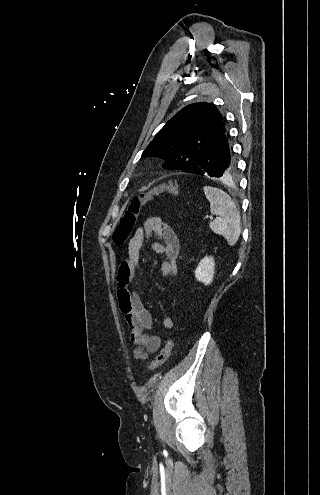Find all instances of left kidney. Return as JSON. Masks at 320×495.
Segmentation results:
<instances>
[{"label": "left kidney", "instance_id": "obj_1", "mask_svg": "<svg viewBox=\"0 0 320 495\" xmlns=\"http://www.w3.org/2000/svg\"><path fill=\"white\" fill-rule=\"evenodd\" d=\"M215 273V261L212 256H206L203 258L196 270H195V278L205 283L206 285L210 284L213 281V276Z\"/></svg>", "mask_w": 320, "mask_h": 495}]
</instances>
